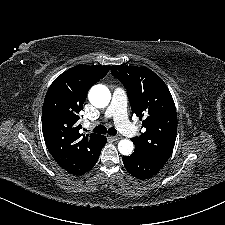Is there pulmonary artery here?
Instances as JSON below:
<instances>
[{
  "label": "pulmonary artery",
  "mask_w": 225,
  "mask_h": 225,
  "mask_svg": "<svg viewBox=\"0 0 225 225\" xmlns=\"http://www.w3.org/2000/svg\"><path fill=\"white\" fill-rule=\"evenodd\" d=\"M127 96L126 92L116 87L113 91L112 101L105 111V118L113 117L121 131H128L129 121L126 113Z\"/></svg>",
  "instance_id": "e3ab8cb5"
}]
</instances>
